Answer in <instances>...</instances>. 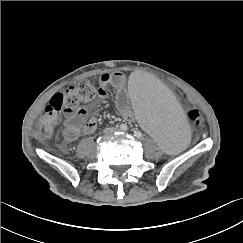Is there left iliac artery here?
<instances>
[{
	"label": "left iliac artery",
	"mask_w": 243,
	"mask_h": 243,
	"mask_svg": "<svg viewBox=\"0 0 243 243\" xmlns=\"http://www.w3.org/2000/svg\"><path fill=\"white\" fill-rule=\"evenodd\" d=\"M134 135H135L137 138H140L142 134H141V132L136 131Z\"/></svg>",
	"instance_id": "left-iliac-artery-1"
}]
</instances>
